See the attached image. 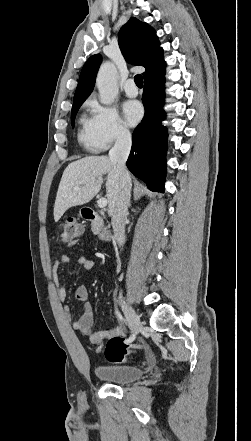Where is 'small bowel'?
Listing matches in <instances>:
<instances>
[{
    "label": "small bowel",
    "mask_w": 251,
    "mask_h": 441,
    "mask_svg": "<svg viewBox=\"0 0 251 441\" xmlns=\"http://www.w3.org/2000/svg\"><path fill=\"white\" fill-rule=\"evenodd\" d=\"M76 241L71 242V245H75ZM71 262V257L68 254H63L58 260H55L52 264V277L55 283L57 295L62 302H65L68 298L66 288L59 279V268L61 264H68ZM77 265L84 271H91L94 267V262L85 257L80 256L76 260ZM75 298L83 303L82 313L79 318L74 319L70 307L65 305L64 311L67 318L71 322L73 329L79 331L83 336L87 337L89 341L94 345H99L106 338H111L114 336L122 337L124 331L119 326H114L106 330L95 331L93 329L94 325V315L92 310V305L89 301L88 290L85 286L80 285L75 290ZM148 359L153 360V356L148 354Z\"/></svg>",
    "instance_id": "obj_1"
}]
</instances>
